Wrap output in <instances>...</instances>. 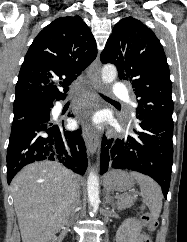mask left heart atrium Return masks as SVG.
I'll use <instances>...</instances> for the list:
<instances>
[{
    "mask_svg": "<svg viewBox=\"0 0 187 242\" xmlns=\"http://www.w3.org/2000/svg\"><path fill=\"white\" fill-rule=\"evenodd\" d=\"M95 122H98V119H95Z\"/></svg>",
    "mask_w": 187,
    "mask_h": 242,
    "instance_id": "39dd6f15",
    "label": "left heart atrium"
}]
</instances>
